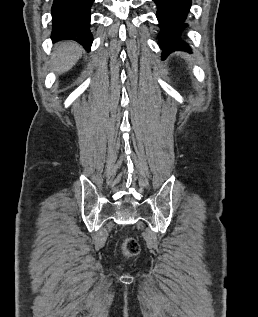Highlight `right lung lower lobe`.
<instances>
[{"instance_id": "right-lung-lower-lobe-1", "label": "right lung lower lobe", "mask_w": 258, "mask_h": 317, "mask_svg": "<svg viewBox=\"0 0 258 317\" xmlns=\"http://www.w3.org/2000/svg\"><path fill=\"white\" fill-rule=\"evenodd\" d=\"M94 0H54L52 5L53 42L74 40L90 51L92 34L90 8Z\"/></svg>"}]
</instances>
